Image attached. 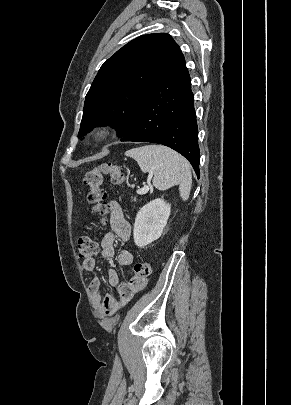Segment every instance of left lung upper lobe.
Returning a JSON list of instances; mask_svg holds the SVG:
<instances>
[{
	"mask_svg": "<svg viewBox=\"0 0 291 405\" xmlns=\"http://www.w3.org/2000/svg\"><path fill=\"white\" fill-rule=\"evenodd\" d=\"M180 53L166 33L140 36L118 50L102 65L86 95L78 137L100 125H111L124 137L143 98Z\"/></svg>",
	"mask_w": 291,
	"mask_h": 405,
	"instance_id": "obj_1",
	"label": "left lung upper lobe"
}]
</instances>
